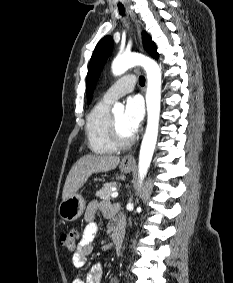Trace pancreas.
Instances as JSON below:
<instances>
[{
  "instance_id": "cf45deb5",
  "label": "pancreas",
  "mask_w": 233,
  "mask_h": 283,
  "mask_svg": "<svg viewBox=\"0 0 233 283\" xmlns=\"http://www.w3.org/2000/svg\"><path fill=\"white\" fill-rule=\"evenodd\" d=\"M116 186V182L105 183L102 188L96 192V196L103 200H109L112 194L111 189Z\"/></svg>"
}]
</instances>
